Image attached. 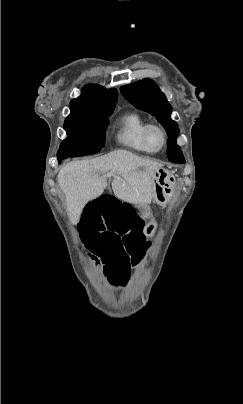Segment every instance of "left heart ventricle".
I'll list each match as a JSON object with an SVG mask.
<instances>
[{"instance_id":"obj_1","label":"left heart ventricle","mask_w":243,"mask_h":404,"mask_svg":"<svg viewBox=\"0 0 243 404\" xmlns=\"http://www.w3.org/2000/svg\"><path fill=\"white\" fill-rule=\"evenodd\" d=\"M151 137H152V140H153V142H154L155 144H159V142H160V136H159V134H158L157 132L153 131V132L151 133Z\"/></svg>"}]
</instances>
